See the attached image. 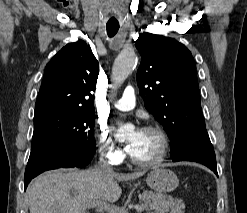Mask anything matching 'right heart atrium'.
Segmentation results:
<instances>
[{"label": "right heart atrium", "instance_id": "right-heart-atrium-1", "mask_svg": "<svg viewBox=\"0 0 247 213\" xmlns=\"http://www.w3.org/2000/svg\"><path fill=\"white\" fill-rule=\"evenodd\" d=\"M97 150L101 158L106 162L117 165L122 162L124 154L115 144L105 125H99L95 132Z\"/></svg>", "mask_w": 247, "mask_h": 213}]
</instances>
